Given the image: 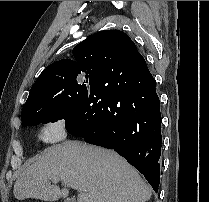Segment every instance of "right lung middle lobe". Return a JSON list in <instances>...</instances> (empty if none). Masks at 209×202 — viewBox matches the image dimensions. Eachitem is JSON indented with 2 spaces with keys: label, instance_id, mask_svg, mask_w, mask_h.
Here are the masks:
<instances>
[{
  "label": "right lung middle lobe",
  "instance_id": "1",
  "mask_svg": "<svg viewBox=\"0 0 209 202\" xmlns=\"http://www.w3.org/2000/svg\"><path fill=\"white\" fill-rule=\"evenodd\" d=\"M85 78L87 80L82 81L80 74H75L48 79L33 95L30 108L22 113V118L28 122L23 127L74 118L97 82L95 77L86 75Z\"/></svg>",
  "mask_w": 209,
  "mask_h": 202
}]
</instances>
